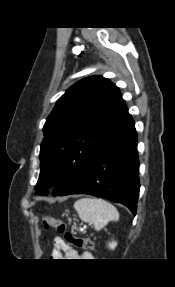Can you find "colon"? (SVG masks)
I'll list each match as a JSON object with an SVG mask.
<instances>
[{
  "mask_svg": "<svg viewBox=\"0 0 175 287\" xmlns=\"http://www.w3.org/2000/svg\"><path fill=\"white\" fill-rule=\"evenodd\" d=\"M43 225L45 228H53L59 234L63 235L64 241L69 245H73L77 248L86 250L96 249L95 244L92 240L76 236L68 229L66 223L61 219L46 215L43 217Z\"/></svg>",
  "mask_w": 175,
  "mask_h": 287,
  "instance_id": "1",
  "label": "colon"
}]
</instances>
